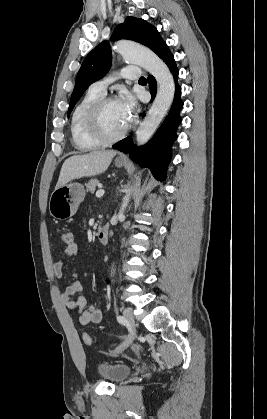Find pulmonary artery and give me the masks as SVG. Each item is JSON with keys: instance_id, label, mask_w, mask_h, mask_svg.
I'll return each instance as SVG.
<instances>
[{"instance_id": "obj_1", "label": "pulmonary artery", "mask_w": 267, "mask_h": 419, "mask_svg": "<svg viewBox=\"0 0 267 419\" xmlns=\"http://www.w3.org/2000/svg\"><path fill=\"white\" fill-rule=\"evenodd\" d=\"M121 76L127 79H131V80H137L140 78V69L138 67L135 66H127L121 69L120 72ZM110 83V79L106 78V79H101L97 82H95L91 88L100 92V93H105L108 84Z\"/></svg>"}]
</instances>
